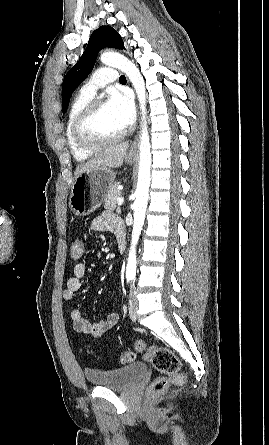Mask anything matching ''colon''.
Instances as JSON below:
<instances>
[{
	"label": "colon",
	"instance_id": "1",
	"mask_svg": "<svg viewBox=\"0 0 269 445\" xmlns=\"http://www.w3.org/2000/svg\"><path fill=\"white\" fill-rule=\"evenodd\" d=\"M84 242L75 240L70 246V255L73 260H78L83 256ZM136 347L139 351H145V359L160 373L153 379L149 393L156 395L164 392L170 383H181L184 375L180 372L181 365L176 355L168 348L162 346H151L146 349L143 341H138ZM136 355L132 351H127L121 355L122 363H131Z\"/></svg>",
	"mask_w": 269,
	"mask_h": 445
}]
</instances>
